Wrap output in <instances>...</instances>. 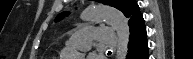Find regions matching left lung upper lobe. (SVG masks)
I'll return each instance as SVG.
<instances>
[{
  "mask_svg": "<svg viewBox=\"0 0 193 59\" xmlns=\"http://www.w3.org/2000/svg\"><path fill=\"white\" fill-rule=\"evenodd\" d=\"M99 3L110 5L123 12V14L130 19V17L139 11L138 4L135 0H96ZM68 12H63L56 17V20L62 19Z\"/></svg>",
  "mask_w": 193,
  "mask_h": 59,
  "instance_id": "left-lung-upper-lobe-1",
  "label": "left lung upper lobe"
}]
</instances>
